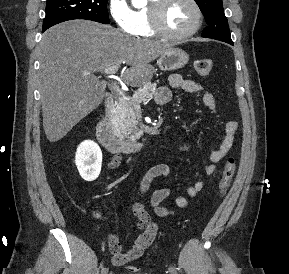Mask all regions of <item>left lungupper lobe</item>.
<instances>
[{
	"label": "left lung upper lobe",
	"mask_w": 289,
	"mask_h": 274,
	"mask_svg": "<svg viewBox=\"0 0 289 274\" xmlns=\"http://www.w3.org/2000/svg\"><path fill=\"white\" fill-rule=\"evenodd\" d=\"M203 13L208 26L203 30L202 37L213 38L223 42L232 41L225 17L222 0H195Z\"/></svg>",
	"instance_id": "left-lung-upper-lobe-1"
}]
</instances>
